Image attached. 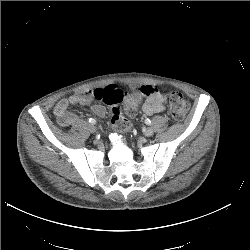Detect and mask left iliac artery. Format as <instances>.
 Here are the masks:
<instances>
[{"mask_svg":"<svg viewBox=\"0 0 250 250\" xmlns=\"http://www.w3.org/2000/svg\"><path fill=\"white\" fill-rule=\"evenodd\" d=\"M145 123L147 124V125H150L151 124V120L150 119H145Z\"/></svg>","mask_w":250,"mask_h":250,"instance_id":"44dca946","label":"left iliac artery"}]
</instances>
